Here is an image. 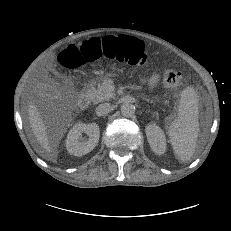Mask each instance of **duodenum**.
Here are the masks:
<instances>
[{
	"mask_svg": "<svg viewBox=\"0 0 231 231\" xmlns=\"http://www.w3.org/2000/svg\"><path fill=\"white\" fill-rule=\"evenodd\" d=\"M90 86H91V82L88 83V89H87V91L84 92L82 95H80L79 98H78V106L81 109H86L89 106L90 101L92 99V94H91Z\"/></svg>",
	"mask_w": 231,
	"mask_h": 231,
	"instance_id": "1",
	"label": "duodenum"
}]
</instances>
